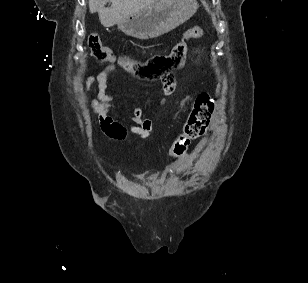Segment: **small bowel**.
I'll return each mask as SVG.
<instances>
[{"label": "small bowel", "mask_w": 308, "mask_h": 283, "mask_svg": "<svg viewBox=\"0 0 308 283\" xmlns=\"http://www.w3.org/2000/svg\"><path fill=\"white\" fill-rule=\"evenodd\" d=\"M115 72L113 65H107L96 75H90L85 81V89L88 90L93 83L97 84V96L90 102V108L95 114L102 132L109 138L115 140H123L130 131L133 134L138 135L141 138H148L153 131L156 121L144 116L143 109L141 107L134 108L129 119L131 124L129 127L115 121L111 113L116 111L117 105L115 103L114 95L107 92L109 74ZM175 86L163 85V97L160 101L161 105L165 101V97L170 95ZM196 166L192 159H189L184 164L179 166L180 172H191L195 170Z\"/></svg>", "instance_id": "obj_1"}]
</instances>
